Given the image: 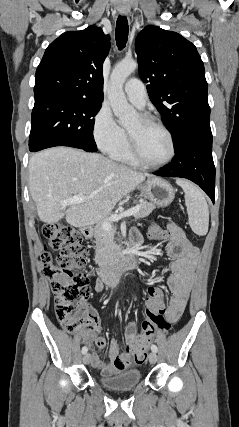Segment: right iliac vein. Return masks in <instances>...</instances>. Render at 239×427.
<instances>
[{
  "label": "right iliac vein",
  "mask_w": 239,
  "mask_h": 427,
  "mask_svg": "<svg viewBox=\"0 0 239 427\" xmlns=\"http://www.w3.org/2000/svg\"><path fill=\"white\" fill-rule=\"evenodd\" d=\"M90 361H91V355H90L89 353H86V354L83 356V362H84L85 364H89V363H90Z\"/></svg>",
  "instance_id": "obj_1"
}]
</instances>
